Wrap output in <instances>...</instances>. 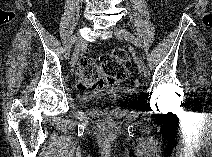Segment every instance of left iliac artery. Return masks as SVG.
I'll return each mask as SVG.
<instances>
[{
	"label": "left iliac artery",
	"mask_w": 212,
	"mask_h": 157,
	"mask_svg": "<svg viewBox=\"0 0 212 157\" xmlns=\"http://www.w3.org/2000/svg\"><path fill=\"white\" fill-rule=\"evenodd\" d=\"M132 41V43L137 46V47H140V42L138 41L137 38H135L134 36L130 39ZM145 67V72H144V75L146 77H149L150 76V70L147 68V66H144Z\"/></svg>",
	"instance_id": "44dca946"
}]
</instances>
